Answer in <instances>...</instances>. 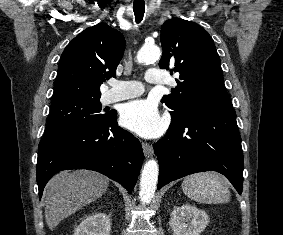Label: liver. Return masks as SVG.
<instances>
[{
	"instance_id": "1",
	"label": "liver",
	"mask_w": 283,
	"mask_h": 235,
	"mask_svg": "<svg viewBox=\"0 0 283 235\" xmlns=\"http://www.w3.org/2000/svg\"><path fill=\"white\" fill-rule=\"evenodd\" d=\"M109 179L97 172L75 170L54 176L45 194V219L50 230L83 206L100 198Z\"/></svg>"
}]
</instances>
